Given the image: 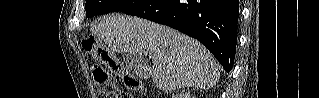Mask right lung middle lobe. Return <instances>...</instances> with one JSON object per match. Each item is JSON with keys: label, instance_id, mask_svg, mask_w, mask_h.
<instances>
[{"label": "right lung middle lobe", "instance_id": "dd1d6c3e", "mask_svg": "<svg viewBox=\"0 0 319 98\" xmlns=\"http://www.w3.org/2000/svg\"><path fill=\"white\" fill-rule=\"evenodd\" d=\"M145 2L147 0H87L86 17L91 18L95 15L115 11L126 12Z\"/></svg>", "mask_w": 319, "mask_h": 98}]
</instances>
